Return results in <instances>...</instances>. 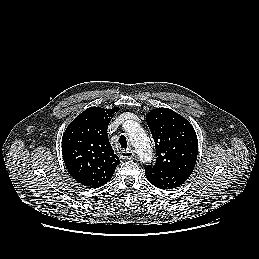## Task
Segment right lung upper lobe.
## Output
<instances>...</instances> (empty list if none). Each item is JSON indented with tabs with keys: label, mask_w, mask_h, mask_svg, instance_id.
Returning <instances> with one entry per match:
<instances>
[{
	"label": "right lung upper lobe",
	"mask_w": 259,
	"mask_h": 259,
	"mask_svg": "<svg viewBox=\"0 0 259 259\" xmlns=\"http://www.w3.org/2000/svg\"><path fill=\"white\" fill-rule=\"evenodd\" d=\"M118 107H91L78 115L62 137L66 168L77 182L98 188L111 180L119 157L109 143L107 128Z\"/></svg>",
	"instance_id": "right-lung-upper-lobe-1"
}]
</instances>
